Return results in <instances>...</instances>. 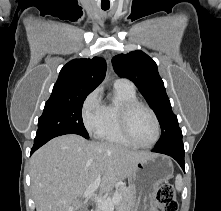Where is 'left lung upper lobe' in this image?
<instances>
[{
	"mask_svg": "<svg viewBox=\"0 0 221 211\" xmlns=\"http://www.w3.org/2000/svg\"><path fill=\"white\" fill-rule=\"evenodd\" d=\"M112 64L118 76L130 79L137 86L155 112L161 126V137L155 148L181 143L182 131L152 58L137 50L114 56Z\"/></svg>",
	"mask_w": 221,
	"mask_h": 211,
	"instance_id": "obj_1",
	"label": "left lung upper lobe"
}]
</instances>
